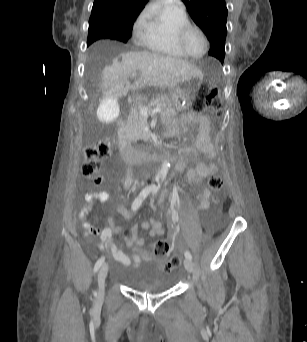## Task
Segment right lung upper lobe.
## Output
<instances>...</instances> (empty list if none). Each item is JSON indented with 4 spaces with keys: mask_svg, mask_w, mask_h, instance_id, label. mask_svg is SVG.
Wrapping results in <instances>:
<instances>
[{
    "mask_svg": "<svg viewBox=\"0 0 307 342\" xmlns=\"http://www.w3.org/2000/svg\"><path fill=\"white\" fill-rule=\"evenodd\" d=\"M148 0H95L89 25L110 31L131 32Z\"/></svg>",
    "mask_w": 307,
    "mask_h": 342,
    "instance_id": "cb5924a9",
    "label": "right lung upper lobe"
}]
</instances>
